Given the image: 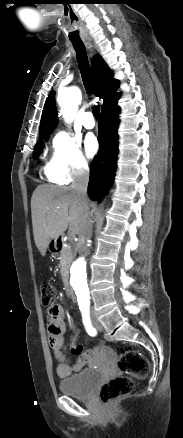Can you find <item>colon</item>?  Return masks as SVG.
<instances>
[{
  "label": "colon",
  "instance_id": "obj_1",
  "mask_svg": "<svg viewBox=\"0 0 183 438\" xmlns=\"http://www.w3.org/2000/svg\"><path fill=\"white\" fill-rule=\"evenodd\" d=\"M55 288L49 281L41 283V303L48 306L52 303ZM118 368L125 375L117 376L104 383L99 391V398L105 405H112L117 400L130 394L133 390V379H144L150 369L148 359L131 346H124L119 354Z\"/></svg>",
  "mask_w": 183,
  "mask_h": 438
}]
</instances>
